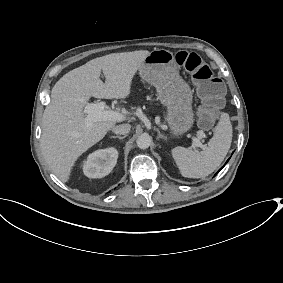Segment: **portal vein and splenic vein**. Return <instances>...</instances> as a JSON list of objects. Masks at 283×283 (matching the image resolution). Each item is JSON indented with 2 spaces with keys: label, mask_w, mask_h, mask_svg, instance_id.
Returning <instances> with one entry per match:
<instances>
[{
  "label": "portal vein and splenic vein",
  "mask_w": 283,
  "mask_h": 283,
  "mask_svg": "<svg viewBox=\"0 0 283 283\" xmlns=\"http://www.w3.org/2000/svg\"><path fill=\"white\" fill-rule=\"evenodd\" d=\"M106 106V101H101L96 104H87L84 107L83 114L86 115V123L88 127H92L93 123L97 121H119L121 119L119 113L105 110ZM199 134L202 135L203 132H199ZM192 144L191 148L194 149L195 152H198L199 147L204 148L199 140H193Z\"/></svg>",
  "instance_id": "18ae733b"
}]
</instances>
